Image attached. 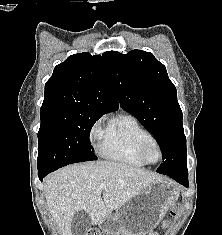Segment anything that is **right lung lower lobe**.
Listing matches in <instances>:
<instances>
[{"label":"right lung lower lobe","mask_w":222,"mask_h":235,"mask_svg":"<svg viewBox=\"0 0 222 235\" xmlns=\"http://www.w3.org/2000/svg\"><path fill=\"white\" fill-rule=\"evenodd\" d=\"M55 170H46V171H43V172H38V177L40 179V181H42V179L48 174V173H51Z\"/></svg>","instance_id":"right-lung-lower-lobe-1"}]
</instances>
